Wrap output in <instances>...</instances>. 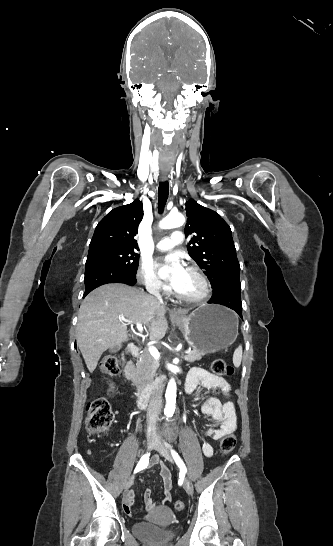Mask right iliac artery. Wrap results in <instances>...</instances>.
Masks as SVG:
<instances>
[{
  "label": "right iliac artery",
  "mask_w": 333,
  "mask_h": 546,
  "mask_svg": "<svg viewBox=\"0 0 333 546\" xmlns=\"http://www.w3.org/2000/svg\"><path fill=\"white\" fill-rule=\"evenodd\" d=\"M149 456H150V453H146L141 457L139 463L137 464V466H136V468L134 470V473H137L140 470L145 469L147 467V465L149 463Z\"/></svg>",
  "instance_id": "right-iliac-artery-1"
}]
</instances>
